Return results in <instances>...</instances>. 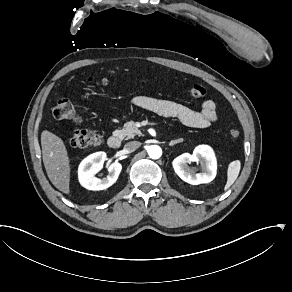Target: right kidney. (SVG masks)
Instances as JSON below:
<instances>
[{
	"mask_svg": "<svg viewBox=\"0 0 292 292\" xmlns=\"http://www.w3.org/2000/svg\"><path fill=\"white\" fill-rule=\"evenodd\" d=\"M105 159V152H96L81 161L78 167V178L83 187L88 190H104L116 182L122 169L118 162L109 166L107 177L102 179L95 177V174L102 169Z\"/></svg>",
	"mask_w": 292,
	"mask_h": 292,
	"instance_id": "obj_1",
	"label": "right kidney"
}]
</instances>
